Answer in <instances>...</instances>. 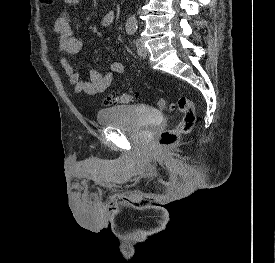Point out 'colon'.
<instances>
[{"mask_svg": "<svg viewBox=\"0 0 275 263\" xmlns=\"http://www.w3.org/2000/svg\"><path fill=\"white\" fill-rule=\"evenodd\" d=\"M46 5H52L54 0H41ZM137 99V93L130 90L123 93H112L106 98V102L111 105L130 104ZM160 109L168 108L169 111H177L182 114V118L175 128L163 131L158 138V145L162 147L174 146L181 135L189 133L196 123V112L193 102L182 96L176 101L167 104L163 98L156 101Z\"/></svg>", "mask_w": 275, "mask_h": 263, "instance_id": "obj_1", "label": "colon"}]
</instances>
